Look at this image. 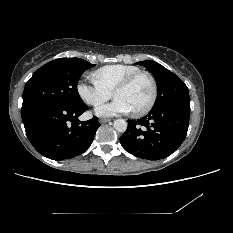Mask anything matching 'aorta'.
<instances>
[{"label":"aorta","mask_w":233,"mask_h":233,"mask_svg":"<svg viewBox=\"0 0 233 233\" xmlns=\"http://www.w3.org/2000/svg\"><path fill=\"white\" fill-rule=\"evenodd\" d=\"M114 128L118 132H125L127 129V122L123 119H117L113 124Z\"/></svg>","instance_id":"762f6f07"}]
</instances>
